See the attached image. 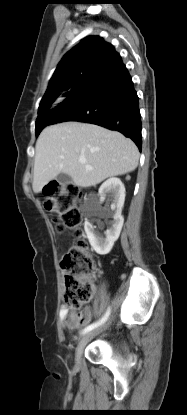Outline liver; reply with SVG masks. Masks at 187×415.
I'll use <instances>...</instances> for the list:
<instances>
[{
  "instance_id": "obj_1",
  "label": "liver",
  "mask_w": 187,
  "mask_h": 415,
  "mask_svg": "<svg viewBox=\"0 0 187 415\" xmlns=\"http://www.w3.org/2000/svg\"><path fill=\"white\" fill-rule=\"evenodd\" d=\"M35 193L60 173L75 185L91 187L113 176L136 169L139 152L135 143L117 131L94 124L64 122L45 128L35 146ZM84 158L85 164L79 159ZM92 167L87 169L86 166Z\"/></svg>"
}]
</instances>
